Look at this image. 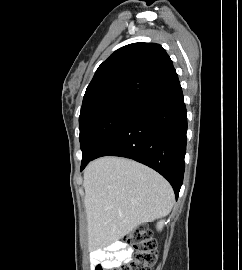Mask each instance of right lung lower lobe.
Instances as JSON below:
<instances>
[{
  "label": "right lung lower lobe",
  "mask_w": 242,
  "mask_h": 270,
  "mask_svg": "<svg viewBox=\"0 0 242 270\" xmlns=\"http://www.w3.org/2000/svg\"><path fill=\"white\" fill-rule=\"evenodd\" d=\"M187 117L178 78L136 103L93 159L113 155L143 163L165 177L178 198L183 182Z\"/></svg>",
  "instance_id": "1"
}]
</instances>
